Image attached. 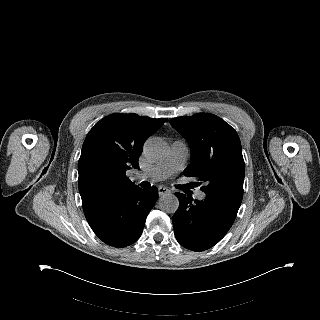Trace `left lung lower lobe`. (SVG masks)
<instances>
[{"label":"left lung lower lobe","instance_id":"1","mask_svg":"<svg viewBox=\"0 0 320 320\" xmlns=\"http://www.w3.org/2000/svg\"><path fill=\"white\" fill-rule=\"evenodd\" d=\"M179 200L173 216L178 242L192 251H204L216 245L232 226L239 207L226 199L206 195L193 201L190 195L175 193Z\"/></svg>","mask_w":320,"mask_h":320}]
</instances>
